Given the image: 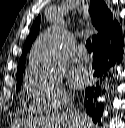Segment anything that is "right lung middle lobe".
Instances as JSON below:
<instances>
[{"instance_id": "1", "label": "right lung middle lobe", "mask_w": 125, "mask_h": 128, "mask_svg": "<svg viewBox=\"0 0 125 128\" xmlns=\"http://www.w3.org/2000/svg\"><path fill=\"white\" fill-rule=\"evenodd\" d=\"M22 79H23V71H21L20 73L17 74V85H16V91L17 92L21 87Z\"/></svg>"}]
</instances>
